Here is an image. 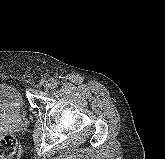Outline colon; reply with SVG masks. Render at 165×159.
<instances>
[{
	"instance_id": "obj_1",
	"label": "colon",
	"mask_w": 165,
	"mask_h": 159,
	"mask_svg": "<svg viewBox=\"0 0 165 159\" xmlns=\"http://www.w3.org/2000/svg\"><path fill=\"white\" fill-rule=\"evenodd\" d=\"M18 143L13 135L5 134L0 136V159H7L17 151Z\"/></svg>"
}]
</instances>
